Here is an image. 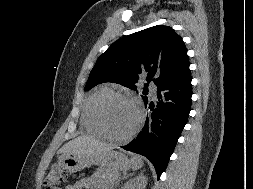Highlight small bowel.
<instances>
[{"mask_svg": "<svg viewBox=\"0 0 253 189\" xmlns=\"http://www.w3.org/2000/svg\"><path fill=\"white\" fill-rule=\"evenodd\" d=\"M99 186L95 179L86 178L82 179L75 184L67 186L65 189H98Z\"/></svg>", "mask_w": 253, "mask_h": 189, "instance_id": "obj_1", "label": "small bowel"}]
</instances>
